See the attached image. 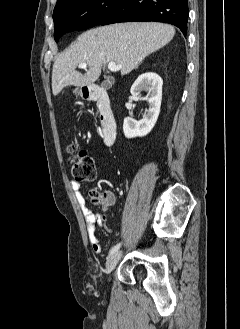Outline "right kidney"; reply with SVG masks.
<instances>
[{"mask_svg":"<svg viewBox=\"0 0 240 329\" xmlns=\"http://www.w3.org/2000/svg\"><path fill=\"white\" fill-rule=\"evenodd\" d=\"M162 85V78L153 72L140 75L133 83L130 90L133 96H139L141 91L148 92L144 99L149 103V109L140 121L132 117L124 119L123 132L126 138L143 137L153 129L160 113Z\"/></svg>","mask_w":240,"mask_h":329,"instance_id":"right-kidney-1","label":"right kidney"}]
</instances>
